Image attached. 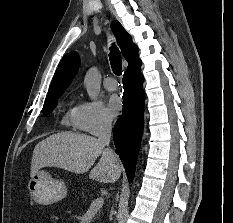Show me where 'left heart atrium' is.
<instances>
[{
    "mask_svg": "<svg viewBox=\"0 0 233 223\" xmlns=\"http://www.w3.org/2000/svg\"><path fill=\"white\" fill-rule=\"evenodd\" d=\"M108 115L111 119H115L121 112V104L116 96H111L107 105Z\"/></svg>",
    "mask_w": 233,
    "mask_h": 223,
    "instance_id": "left-heart-atrium-1",
    "label": "left heart atrium"
}]
</instances>
